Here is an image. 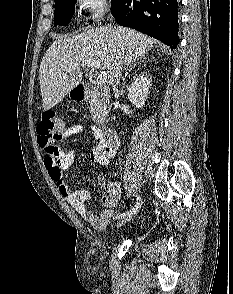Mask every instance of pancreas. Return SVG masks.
<instances>
[{
  "label": "pancreas",
  "mask_w": 233,
  "mask_h": 294,
  "mask_svg": "<svg viewBox=\"0 0 233 294\" xmlns=\"http://www.w3.org/2000/svg\"><path fill=\"white\" fill-rule=\"evenodd\" d=\"M89 109L93 121L98 125H103L107 117V102L97 90L90 92Z\"/></svg>",
  "instance_id": "1"
}]
</instances>
